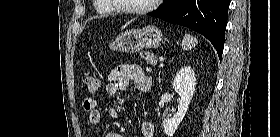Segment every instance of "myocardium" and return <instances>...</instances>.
Returning <instances> with one entry per match:
<instances>
[{"label": "myocardium", "instance_id": "obj_1", "mask_svg": "<svg viewBox=\"0 0 280 137\" xmlns=\"http://www.w3.org/2000/svg\"><path fill=\"white\" fill-rule=\"evenodd\" d=\"M161 0H151V3L147 6L137 7V8H124L120 6H114L118 10L125 14L135 15V14H145L153 10Z\"/></svg>", "mask_w": 280, "mask_h": 137}]
</instances>
